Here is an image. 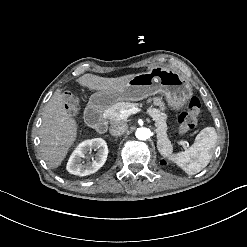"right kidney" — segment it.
<instances>
[{
    "label": "right kidney",
    "mask_w": 247,
    "mask_h": 247,
    "mask_svg": "<svg viewBox=\"0 0 247 247\" xmlns=\"http://www.w3.org/2000/svg\"><path fill=\"white\" fill-rule=\"evenodd\" d=\"M92 149H96L97 153L95 159L92 162L82 163V158L90 152ZM108 156V146L104 139L94 138L81 142L71 154L66 169L69 173L86 176L98 171L106 162Z\"/></svg>",
    "instance_id": "1"
}]
</instances>
